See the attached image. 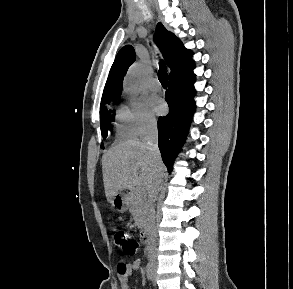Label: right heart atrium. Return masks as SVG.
Listing matches in <instances>:
<instances>
[{"mask_svg":"<svg viewBox=\"0 0 293 289\" xmlns=\"http://www.w3.org/2000/svg\"><path fill=\"white\" fill-rule=\"evenodd\" d=\"M126 110L129 114L135 136L144 137L157 128V120L142 98H130Z\"/></svg>","mask_w":293,"mask_h":289,"instance_id":"1","label":"right heart atrium"}]
</instances>
